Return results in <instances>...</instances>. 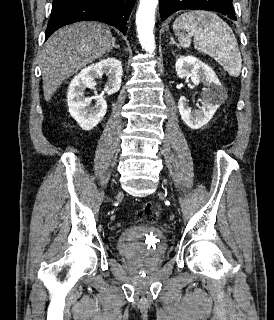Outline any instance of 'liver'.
<instances>
[{"label":"liver","instance_id":"1","mask_svg":"<svg viewBox=\"0 0 274 320\" xmlns=\"http://www.w3.org/2000/svg\"><path fill=\"white\" fill-rule=\"evenodd\" d=\"M109 26L99 22H76L48 38L42 56L44 100L49 102L64 80L111 52Z\"/></svg>","mask_w":274,"mask_h":320}]
</instances>
